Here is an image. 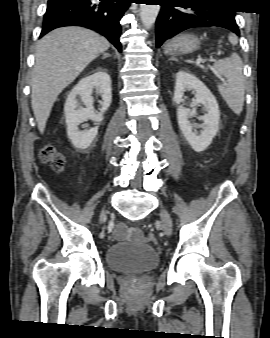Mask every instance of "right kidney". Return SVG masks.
Masks as SVG:
<instances>
[{
	"label": "right kidney",
	"mask_w": 270,
	"mask_h": 338,
	"mask_svg": "<svg viewBox=\"0 0 270 338\" xmlns=\"http://www.w3.org/2000/svg\"><path fill=\"white\" fill-rule=\"evenodd\" d=\"M95 91L102 97V108L99 113L93 110L92 92ZM80 97V101L77 100ZM111 79L104 70H98L94 74L84 77L69 93L64 105L67 134L72 144L78 149H86L90 146L98 133V127L80 131L78 125L86 120L101 122L103 114L111 104ZM83 103L86 108L81 106Z\"/></svg>",
	"instance_id": "right-kidney-1"
}]
</instances>
